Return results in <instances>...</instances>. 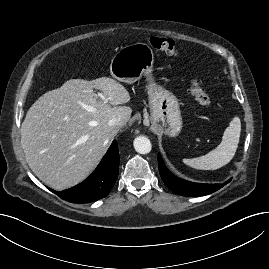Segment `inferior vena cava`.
<instances>
[{"label":"inferior vena cava","instance_id":"inferior-vena-cava-1","mask_svg":"<svg viewBox=\"0 0 269 269\" xmlns=\"http://www.w3.org/2000/svg\"><path fill=\"white\" fill-rule=\"evenodd\" d=\"M122 124V120L120 117H112L109 121H108V125L110 127H118Z\"/></svg>","mask_w":269,"mask_h":269}]
</instances>
